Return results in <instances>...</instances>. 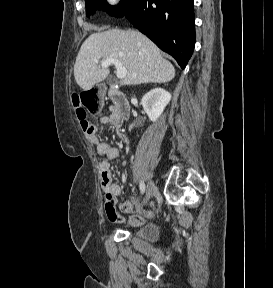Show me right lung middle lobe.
Wrapping results in <instances>:
<instances>
[{
    "instance_id": "obj_1",
    "label": "right lung middle lobe",
    "mask_w": 273,
    "mask_h": 288,
    "mask_svg": "<svg viewBox=\"0 0 273 288\" xmlns=\"http://www.w3.org/2000/svg\"><path fill=\"white\" fill-rule=\"evenodd\" d=\"M136 0H121L116 6H111L106 0H85L86 15L90 16L97 9L106 11L109 15L114 17H123L133 7Z\"/></svg>"
}]
</instances>
